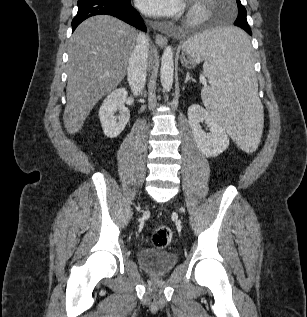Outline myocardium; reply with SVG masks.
<instances>
[{
  "mask_svg": "<svg viewBox=\"0 0 307 317\" xmlns=\"http://www.w3.org/2000/svg\"><path fill=\"white\" fill-rule=\"evenodd\" d=\"M209 15V9L202 0H195L187 13L186 22L189 24H198L203 22Z\"/></svg>",
  "mask_w": 307,
  "mask_h": 317,
  "instance_id": "f54148a6",
  "label": "myocardium"
}]
</instances>
